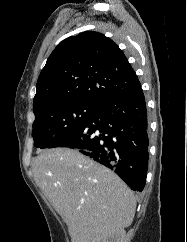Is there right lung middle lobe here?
Returning a JSON list of instances; mask_svg holds the SVG:
<instances>
[{"instance_id":"obj_1","label":"right lung middle lobe","mask_w":187,"mask_h":242,"mask_svg":"<svg viewBox=\"0 0 187 242\" xmlns=\"http://www.w3.org/2000/svg\"><path fill=\"white\" fill-rule=\"evenodd\" d=\"M99 106L87 102H72L37 115L32 126L34 146L47 149L88 120Z\"/></svg>"}]
</instances>
